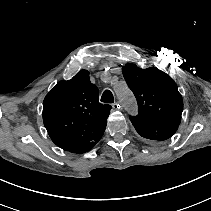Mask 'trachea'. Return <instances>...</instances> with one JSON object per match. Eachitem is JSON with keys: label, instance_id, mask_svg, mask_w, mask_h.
<instances>
[{"label": "trachea", "instance_id": "trachea-1", "mask_svg": "<svg viewBox=\"0 0 211 211\" xmlns=\"http://www.w3.org/2000/svg\"><path fill=\"white\" fill-rule=\"evenodd\" d=\"M101 101L104 103H113L114 97L110 90H105L102 94Z\"/></svg>", "mask_w": 211, "mask_h": 211}]
</instances>
